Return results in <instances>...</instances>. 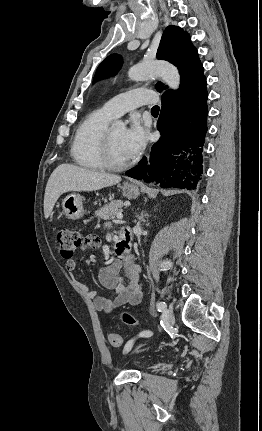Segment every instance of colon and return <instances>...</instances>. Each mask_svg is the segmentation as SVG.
I'll return each mask as SVG.
<instances>
[{
  "mask_svg": "<svg viewBox=\"0 0 262 431\" xmlns=\"http://www.w3.org/2000/svg\"><path fill=\"white\" fill-rule=\"evenodd\" d=\"M57 241L60 253L66 260H71L77 253L86 248H93L99 245L98 236L84 235L78 230L66 228L58 232ZM123 318L127 325H138V321L130 314H124ZM108 341L113 347H119L123 344V338L118 333H110Z\"/></svg>",
  "mask_w": 262,
  "mask_h": 431,
  "instance_id": "colon-1",
  "label": "colon"
}]
</instances>
